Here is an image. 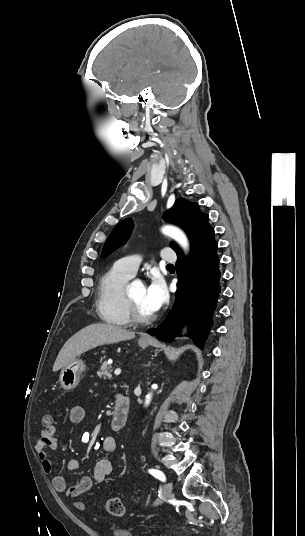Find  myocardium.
Listing matches in <instances>:
<instances>
[{
	"instance_id": "obj_1",
	"label": "myocardium",
	"mask_w": 305,
	"mask_h": 536,
	"mask_svg": "<svg viewBox=\"0 0 305 536\" xmlns=\"http://www.w3.org/2000/svg\"><path fill=\"white\" fill-rule=\"evenodd\" d=\"M124 303L131 318L138 322H147L156 318L154 314L142 313L132 302L128 290H124Z\"/></svg>"
}]
</instances>
